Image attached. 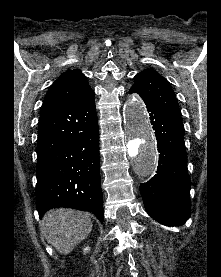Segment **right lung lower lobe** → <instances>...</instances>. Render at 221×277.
Listing matches in <instances>:
<instances>
[{
    "label": "right lung lower lobe",
    "instance_id": "1",
    "mask_svg": "<svg viewBox=\"0 0 221 277\" xmlns=\"http://www.w3.org/2000/svg\"><path fill=\"white\" fill-rule=\"evenodd\" d=\"M39 216L57 207L92 212L102 223L99 128L94 91L41 109L37 142Z\"/></svg>",
    "mask_w": 221,
    "mask_h": 277
}]
</instances>
